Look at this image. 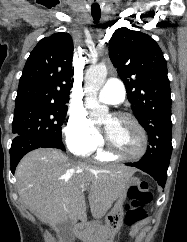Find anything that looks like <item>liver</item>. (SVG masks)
I'll use <instances>...</instances> for the list:
<instances>
[{
    "instance_id": "6515ba94",
    "label": "liver",
    "mask_w": 187,
    "mask_h": 242,
    "mask_svg": "<svg viewBox=\"0 0 187 242\" xmlns=\"http://www.w3.org/2000/svg\"><path fill=\"white\" fill-rule=\"evenodd\" d=\"M135 171L122 165L92 168L72 161L59 150L37 149L17 166L16 189L30 211L57 229L61 222L75 225L85 217V190L93 218H102L127 191Z\"/></svg>"
}]
</instances>
